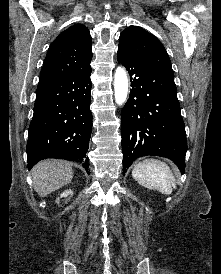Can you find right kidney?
<instances>
[{
    "mask_svg": "<svg viewBox=\"0 0 221 274\" xmlns=\"http://www.w3.org/2000/svg\"><path fill=\"white\" fill-rule=\"evenodd\" d=\"M71 195H73V192L71 190H66L60 195V198H67ZM57 203H59V198L57 199Z\"/></svg>",
    "mask_w": 221,
    "mask_h": 274,
    "instance_id": "obj_1",
    "label": "right kidney"
}]
</instances>
